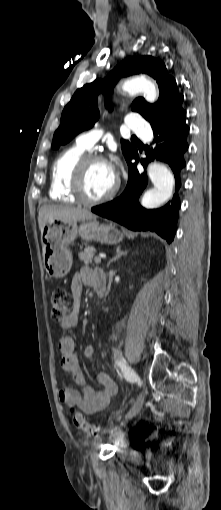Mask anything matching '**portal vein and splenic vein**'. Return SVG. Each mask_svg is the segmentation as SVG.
Segmentation results:
<instances>
[{
  "label": "portal vein and splenic vein",
  "instance_id": "obj_1",
  "mask_svg": "<svg viewBox=\"0 0 221 510\" xmlns=\"http://www.w3.org/2000/svg\"><path fill=\"white\" fill-rule=\"evenodd\" d=\"M94 262H95L96 264H100V263H101V256H97V257H95V258H94Z\"/></svg>",
  "mask_w": 221,
  "mask_h": 510
}]
</instances>
